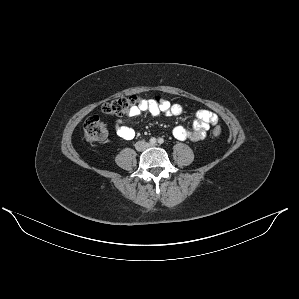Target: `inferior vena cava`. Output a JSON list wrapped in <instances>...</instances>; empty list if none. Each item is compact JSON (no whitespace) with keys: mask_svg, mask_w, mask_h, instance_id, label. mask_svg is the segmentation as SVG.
<instances>
[{"mask_svg":"<svg viewBox=\"0 0 299 299\" xmlns=\"http://www.w3.org/2000/svg\"><path fill=\"white\" fill-rule=\"evenodd\" d=\"M148 147H149V144L147 142H145V141H138L135 144V148L138 151H143V150L147 149Z\"/></svg>","mask_w":299,"mask_h":299,"instance_id":"obj_1","label":"inferior vena cava"}]
</instances>
